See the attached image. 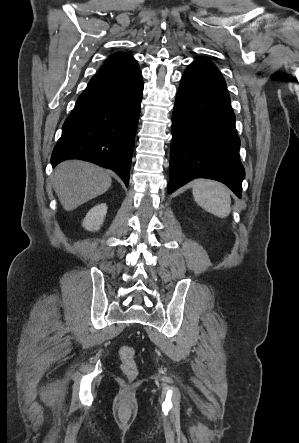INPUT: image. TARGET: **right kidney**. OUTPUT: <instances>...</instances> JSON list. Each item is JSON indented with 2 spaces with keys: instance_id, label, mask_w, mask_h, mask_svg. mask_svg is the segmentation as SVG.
<instances>
[{
  "instance_id": "obj_1",
  "label": "right kidney",
  "mask_w": 299,
  "mask_h": 443,
  "mask_svg": "<svg viewBox=\"0 0 299 443\" xmlns=\"http://www.w3.org/2000/svg\"><path fill=\"white\" fill-rule=\"evenodd\" d=\"M107 213V205L100 204L93 207L83 220V227L89 231H97L103 223Z\"/></svg>"
}]
</instances>
